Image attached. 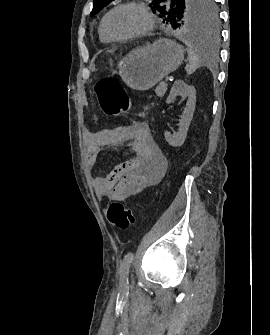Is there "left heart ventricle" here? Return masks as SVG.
Returning <instances> with one entry per match:
<instances>
[{"instance_id": "obj_1", "label": "left heart ventricle", "mask_w": 270, "mask_h": 335, "mask_svg": "<svg viewBox=\"0 0 270 335\" xmlns=\"http://www.w3.org/2000/svg\"><path fill=\"white\" fill-rule=\"evenodd\" d=\"M145 26V16L134 6H123L115 10L108 19V28L116 36L141 31Z\"/></svg>"}]
</instances>
